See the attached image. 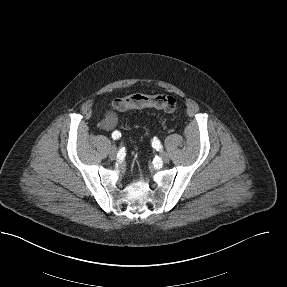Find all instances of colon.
<instances>
[{"mask_svg":"<svg viewBox=\"0 0 287 287\" xmlns=\"http://www.w3.org/2000/svg\"><path fill=\"white\" fill-rule=\"evenodd\" d=\"M112 106L118 112L144 108H155L166 112H173L177 107V102L173 96L168 94L148 95L134 93L115 99L112 102Z\"/></svg>","mask_w":287,"mask_h":287,"instance_id":"colon-1","label":"colon"}]
</instances>
